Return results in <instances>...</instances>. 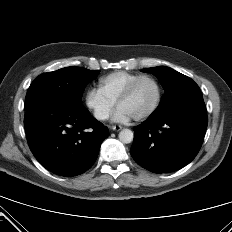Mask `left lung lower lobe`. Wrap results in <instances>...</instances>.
<instances>
[{
	"instance_id": "1",
	"label": "left lung lower lobe",
	"mask_w": 232,
	"mask_h": 232,
	"mask_svg": "<svg viewBox=\"0 0 232 232\" xmlns=\"http://www.w3.org/2000/svg\"><path fill=\"white\" fill-rule=\"evenodd\" d=\"M208 118L202 93L170 105L134 129L133 159L154 173H169L190 163L199 152Z\"/></svg>"
}]
</instances>
